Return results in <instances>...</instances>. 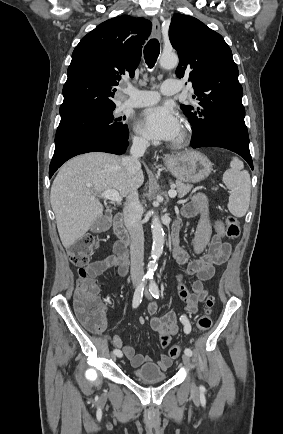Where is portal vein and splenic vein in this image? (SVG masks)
<instances>
[{"mask_svg":"<svg viewBox=\"0 0 283 434\" xmlns=\"http://www.w3.org/2000/svg\"><path fill=\"white\" fill-rule=\"evenodd\" d=\"M168 194L171 198H174V197H176L177 192L174 189H171V190H169ZM101 196L105 199H109V200L116 202V203H121V201H122V197L115 190L104 191L101 194Z\"/></svg>","mask_w":283,"mask_h":434,"instance_id":"18ae733b","label":"portal vein and splenic vein"}]
</instances>
